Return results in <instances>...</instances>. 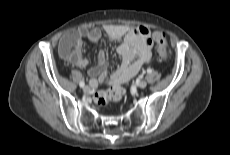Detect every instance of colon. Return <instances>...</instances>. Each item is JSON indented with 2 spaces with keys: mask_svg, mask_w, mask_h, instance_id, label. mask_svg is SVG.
<instances>
[{
  "mask_svg": "<svg viewBox=\"0 0 230 155\" xmlns=\"http://www.w3.org/2000/svg\"><path fill=\"white\" fill-rule=\"evenodd\" d=\"M156 43L158 45V56L161 61L168 58L169 51L166 46L165 35L162 32L155 33ZM79 38L72 33L66 35L61 44V53L67 57L72 56L77 52ZM123 96V89L119 86H114L106 91H97L94 94V102L100 107H106L111 103L119 101Z\"/></svg>",
  "mask_w": 230,
  "mask_h": 155,
  "instance_id": "1",
  "label": "colon"
}]
</instances>
